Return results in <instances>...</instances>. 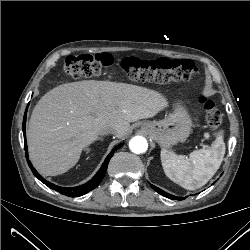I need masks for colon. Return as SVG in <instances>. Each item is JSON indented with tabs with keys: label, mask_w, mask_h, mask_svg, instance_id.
<instances>
[{
	"label": "colon",
	"mask_w": 250,
	"mask_h": 250,
	"mask_svg": "<svg viewBox=\"0 0 250 250\" xmlns=\"http://www.w3.org/2000/svg\"><path fill=\"white\" fill-rule=\"evenodd\" d=\"M119 68L128 78L141 82L170 83L192 81L198 73V67L190 60H173L159 58L155 60H141L126 57L116 62L107 53L79 54L69 56L63 70L70 78H90L99 76L110 68ZM204 106L206 122L214 134H217L222 124V114L213 101L201 99Z\"/></svg>",
	"instance_id": "1"
}]
</instances>
